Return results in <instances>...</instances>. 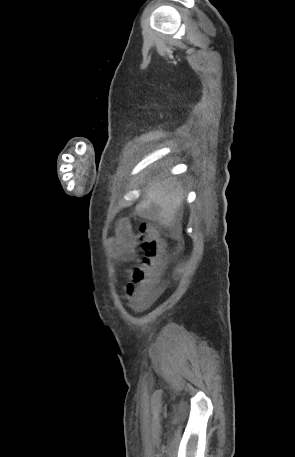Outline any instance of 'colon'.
<instances>
[{"instance_id": "colon-1", "label": "colon", "mask_w": 295, "mask_h": 457, "mask_svg": "<svg viewBox=\"0 0 295 457\" xmlns=\"http://www.w3.org/2000/svg\"><path fill=\"white\" fill-rule=\"evenodd\" d=\"M142 257L130 271V282L126 287V296L134 304L145 299L164 264L166 239L148 222H142L138 229Z\"/></svg>"}]
</instances>
